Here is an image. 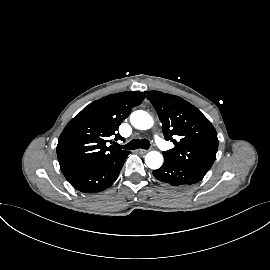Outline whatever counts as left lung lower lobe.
Returning a JSON list of instances; mask_svg holds the SVG:
<instances>
[{
  "label": "left lung lower lobe",
  "mask_w": 270,
  "mask_h": 270,
  "mask_svg": "<svg viewBox=\"0 0 270 270\" xmlns=\"http://www.w3.org/2000/svg\"><path fill=\"white\" fill-rule=\"evenodd\" d=\"M156 179L178 188H186L198 183L205 176L200 172L182 164L164 158L162 167L153 171Z\"/></svg>",
  "instance_id": "left-lung-lower-lobe-1"
}]
</instances>
